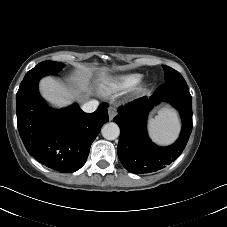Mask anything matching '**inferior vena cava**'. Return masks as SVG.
Segmentation results:
<instances>
[{"label": "inferior vena cava", "mask_w": 227, "mask_h": 227, "mask_svg": "<svg viewBox=\"0 0 227 227\" xmlns=\"http://www.w3.org/2000/svg\"><path fill=\"white\" fill-rule=\"evenodd\" d=\"M99 105L97 100H89L82 105V110L86 113L94 112Z\"/></svg>", "instance_id": "1"}]
</instances>
